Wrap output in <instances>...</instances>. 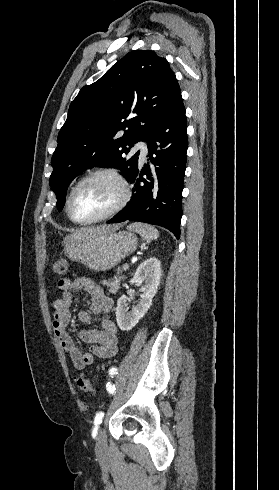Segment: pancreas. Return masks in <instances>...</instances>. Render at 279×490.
Segmentation results:
<instances>
[{"label": "pancreas", "mask_w": 279, "mask_h": 490, "mask_svg": "<svg viewBox=\"0 0 279 490\" xmlns=\"http://www.w3.org/2000/svg\"><path fill=\"white\" fill-rule=\"evenodd\" d=\"M121 272H123V270H120L119 268V270H117L118 276H115V280H113V282H106V280H104L102 284H104V286H107V288H110L111 292H117L120 286V282L121 280H123V276H119Z\"/></svg>", "instance_id": "1"}]
</instances>
